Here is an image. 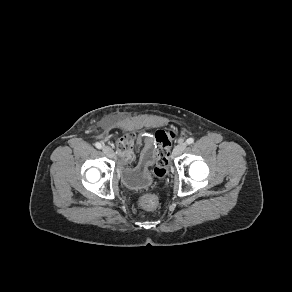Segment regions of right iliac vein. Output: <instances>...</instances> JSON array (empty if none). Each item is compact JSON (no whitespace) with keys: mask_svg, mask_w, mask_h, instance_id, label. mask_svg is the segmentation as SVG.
Returning a JSON list of instances; mask_svg holds the SVG:
<instances>
[{"mask_svg":"<svg viewBox=\"0 0 292 292\" xmlns=\"http://www.w3.org/2000/svg\"><path fill=\"white\" fill-rule=\"evenodd\" d=\"M102 150L108 157L110 158L114 157V151L109 146H103Z\"/></svg>","mask_w":292,"mask_h":292,"instance_id":"63e3f726","label":"right iliac vein"}]
</instances>
